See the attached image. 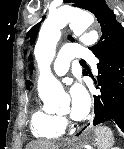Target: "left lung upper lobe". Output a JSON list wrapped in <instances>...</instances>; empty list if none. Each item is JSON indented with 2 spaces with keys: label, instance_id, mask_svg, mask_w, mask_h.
Segmentation results:
<instances>
[{
  "label": "left lung upper lobe",
  "instance_id": "1",
  "mask_svg": "<svg viewBox=\"0 0 124 149\" xmlns=\"http://www.w3.org/2000/svg\"><path fill=\"white\" fill-rule=\"evenodd\" d=\"M65 2L74 3L73 6L89 10L97 18L101 26L102 36L98 43L90 50L95 56H99L124 47V29L122 25L116 20L113 11L106 5L104 0H65ZM45 17L42 18V21ZM41 21V22H42ZM41 22L34 25L27 33V38L31 39V44L35 41ZM69 40L74 41L70 36ZM31 59V57H30ZM32 70V64L30 65ZM83 75H88L83 71ZM31 85L30 81L26 82L27 88Z\"/></svg>",
  "mask_w": 124,
  "mask_h": 149
}]
</instances>
